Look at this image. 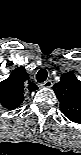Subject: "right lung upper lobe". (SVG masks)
Instances as JSON below:
<instances>
[{
    "label": "right lung upper lobe",
    "instance_id": "obj_1",
    "mask_svg": "<svg viewBox=\"0 0 81 155\" xmlns=\"http://www.w3.org/2000/svg\"><path fill=\"white\" fill-rule=\"evenodd\" d=\"M37 89V85L29 81L25 68L20 66L0 83V103L7 109H15L23 102L25 92Z\"/></svg>",
    "mask_w": 81,
    "mask_h": 155
}]
</instances>
